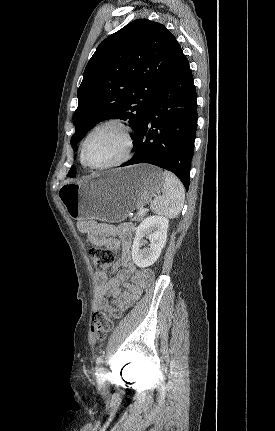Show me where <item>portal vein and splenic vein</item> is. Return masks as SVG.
Segmentation results:
<instances>
[{"label": "portal vein and splenic vein", "instance_id": "1", "mask_svg": "<svg viewBox=\"0 0 275 431\" xmlns=\"http://www.w3.org/2000/svg\"><path fill=\"white\" fill-rule=\"evenodd\" d=\"M148 211L147 207H142L139 211V215H142Z\"/></svg>", "mask_w": 275, "mask_h": 431}]
</instances>
